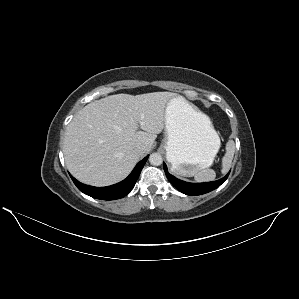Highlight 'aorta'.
Instances as JSON below:
<instances>
[{"label":"aorta","mask_w":299,"mask_h":299,"mask_svg":"<svg viewBox=\"0 0 299 299\" xmlns=\"http://www.w3.org/2000/svg\"><path fill=\"white\" fill-rule=\"evenodd\" d=\"M149 162L151 165L159 166L162 164L163 159L159 153H152L149 157Z\"/></svg>","instance_id":"1"}]
</instances>
